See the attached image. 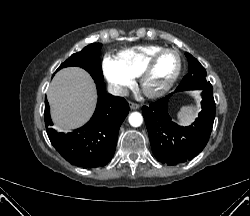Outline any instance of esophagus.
Segmentation results:
<instances>
[{
	"mask_svg": "<svg viewBox=\"0 0 250 216\" xmlns=\"http://www.w3.org/2000/svg\"><path fill=\"white\" fill-rule=\"evenodd\" d=\"M130 108L133 110H137L140 108V105L134 102H129Z\"/></svg>",
	"mask_w": 250,
	"mask_h": 216,
	"instance_id": "34e87169",
	"label": "esophagus"
}]
</instances>
